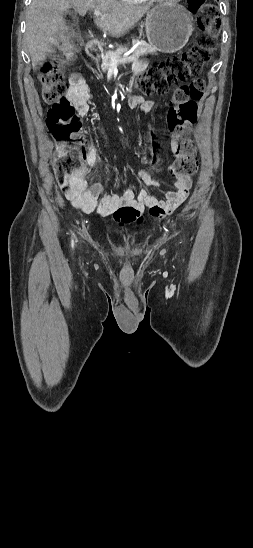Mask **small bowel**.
<instances>
[{"mask_svg":"<svg viewBox=\"0 0 253 548\" xmlns=\"http://www.w3.org/2000/svg\"><path fill=\"white\" fill-rule=\"evenodd\" d=\"M146 63L141 61L136 64V73H141ZM68 101L77 109L80 116L88 112V101L90 91L85 78L80 73H73L69 77V88L66 93ZM130 108L140 107L144 111H151L155 107L153 100L145 99L141 95H133L128 100ZM180 137L172 136L170 141L171 152L176 156ZM98 162V153L95 146L90 143L87 154L81 168L71 177L69 183L63 186L66 199L77 209L91 213L97 211L102 216H109L115 213V219L120 224L140 221V213L148 209L149 213L156 218H163L174 211L187 198L191 179L182 175H174L176 178L175 191L168 192L164 199H158L149 191V187H158V183L145 170H139L138 178L147 188L140 190L137 194L131 189L119 193H111L100 198L103 192V185L99 182L88 186L87 176L90 169Z\"/></svg>","mask_w":253,"mask_h":548,"instance_id":"obj_1","label":"small bowel"}]
</instances>
